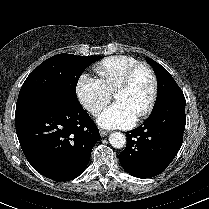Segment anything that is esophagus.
Segmentation results:
<instances>
[{
    "label": "esophagus",
    "instance_id": "obj_1",
    "mask_svg": "<svg viewBox=\"0 0 209 209\" xmlns=\"http://www.w3.org/2000/svg\"><path fill=\"white\" fill-rule=\"evenodd\" d=\"M100 135H101V137H105V136H107L108 135V131H106V130H103V129H100Z\"/></svg>",
    "mask_w": 209,
    "mask_h": 209
}]
</instances>
